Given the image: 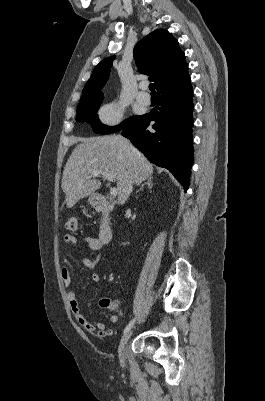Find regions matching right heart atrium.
Listing matches in <instances>:
<instances>
[{
    "mask_svg": "<svg viewBox=\"0 0 265 401\" xmlns=\"http://www.w3.org/2000/svg\"><path fill=\"white\" fill-rule=\"evenodd\" d=\"M99 118L107 125H118L124 118V106L118 100H111L99 109Z\"/></svg>",
    "mask_w": 265,
    "mask_h": 401,
    "instance_id": "1",
    "label": "right heart atrium"
}]
</instances>
